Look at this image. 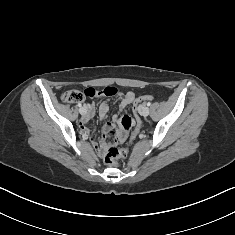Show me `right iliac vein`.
I'll return each instance as SVG.
<instances>
[{
  "label": "right iliac vein",
  "mask_w": 235,
  "mask_h": 235,
  "mask_svg": "<svg viewBox=\"0 0 235 235\" xmlns=\"http://www.w3.org/2000/svg\"><path fill=\"white\" fill-rule=\"evenodd\" d=\"M79 112H80V114H81L83 117H85L86 114H87V111H86V109H85L84 107H81L80 110H79Z\"/></svg>",
  "instance_id": "63e3f726"
}]
</instances>
